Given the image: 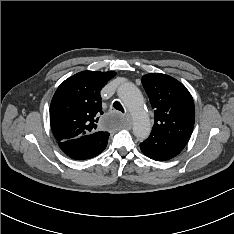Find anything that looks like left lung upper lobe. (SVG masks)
I'll list each match as a JSON object with an SVG mask.
<instances>
[{"label":"left lung upper lobe","instance_id":"left-lung-upper-lobe-1","mask_svg":"<svg viewBox=\"0 0 234 234\" xmlns=\"http://www.w3.org/2000/svg\"><path fill=\"white\" fill-rule=\"evenodd\" d=\"M143 87L154 109L151 134L187 144L194 127V101L186 87L171 76L151 73L142 77Z\"/></svg>","mask_w":234,"mask_h":234}]
</instances>
